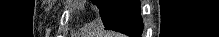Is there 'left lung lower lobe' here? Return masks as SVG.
<instances>
[{
  "instance_id": "obj_1",
  "label": "left lung lower lobe",
  "mask_w": 219,
  "mask_h": 37,
  "mask_svg": "<svg viewBox=\"0 0 219 37\" xmlns=\"http://www.w3.org/2000/svg\"><path fill=\"white\" fill-rule=\"evenodd\" d=\"M105 29L117 31L129 37H141L143 23L139 0H123Z\"/></svg>"
}]
</instances>
